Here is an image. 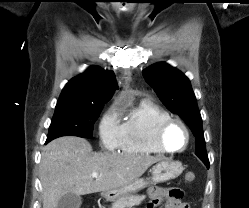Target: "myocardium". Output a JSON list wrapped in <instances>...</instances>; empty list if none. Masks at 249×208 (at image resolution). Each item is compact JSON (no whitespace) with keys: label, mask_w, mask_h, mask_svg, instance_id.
<instances>
[{"label":"myocardium","mask_w":249,"mask_h":208,"mask_svg":"<svg viewBox=\"0 0 249 208\" xmlns=\"http://www.w3.org/2000/svg\"><path fill=\"white\" fill-rule=\"evenodd\" d=\"M174 124H178L179 126H181L186 134V142H185L184 146L180 149H171V148L167 147L165 142H164L165 132L169 129V127H171ZM190 139H191V134H190V130H189L188 126L182 120H180L178 118H173V117L162 121L158 125V127L155 131V136H154V140H155L157 147L162 152H165V153H181V152L185 151L187 149V147L189 146Z\"/></svg>","instance_id":"1"}]
</instances>
